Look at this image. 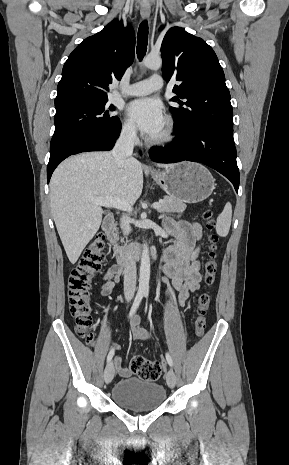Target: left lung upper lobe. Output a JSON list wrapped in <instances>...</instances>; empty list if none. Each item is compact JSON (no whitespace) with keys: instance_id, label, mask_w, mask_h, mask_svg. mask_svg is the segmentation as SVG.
<instances>
[{"instance_id":"obj_1","label":"left lung upper lobe","mask_w":289,"mask_h":465,"mask_svg":"<svg viewBox=\"0 0 289 465\" xmlns=\"http://www.w3.org/2000/svg\"><path fill=\"white\" fill-rule=\"evenodd\" d=\"M161 56L165 80L181 82L174 86L177 96L171 99L181 105L170 107L176 119L174 128L186 130L204 124L233 131L230 93L213 49L183 28L172 27L162 41Z\"/></svg>"}]
</instances>
